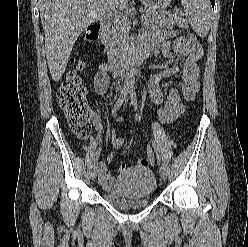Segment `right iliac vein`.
<instances>
[{
  "instance_id": "63e3f726",
  "label": "right iliac vein",
  "mask_w": 248,
  "mask_h": 247,
  "mask_svg": "<svg viewBox=\"0 0 248 247\" xmlns=\"http://www.w3.org/2000/svg\"><path fill=\"white\" fill-rule=\"evenodd\" d=\"M98 174V168L96 166L93 167L91 171V179L94 181L97 177Z\"/></svg>"
}]
</instances>
